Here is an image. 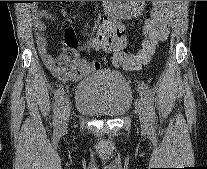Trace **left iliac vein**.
Returning <instances> with one entry per match:
<instances>
[{
	"instance_id": "obj_1",
	"label": "left iliac vein",
	"mask_w": 207,
	"mask_h": 169,
	"mask_svg": "<svg viewBox=\"0 0 207 169\" xmlns=\"http://www.w3.org/2000/svg\"><path fill=\"white\" fill-rule=\"evenodd\" d=\"M138 114H139V119H140L141 125L143 127H147L149 124V118H148V115L146 112V107L143 102H141L138 107Z\"/></svg>"
}]
</instances>
